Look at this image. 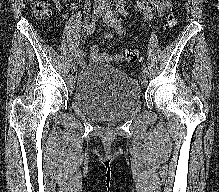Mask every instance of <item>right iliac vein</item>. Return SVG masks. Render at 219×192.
<instances>
[{"instance_id":"1","label":"right iliac vein","mask_w":219,"mask_h":192,"mask_svg":"<svg viewBox=\"0 0 219 192\" xmlns=\"http://www.w3.org/2000/svg\"><path fill=\"white\" fill-rule=\"evenodd\" d=\"M101 15V9L95 8L92 12V21H96L99 16ZM78 69V60H74V62L71 64V71L72 73H75Z\"/></svg>"}]
</instances>
